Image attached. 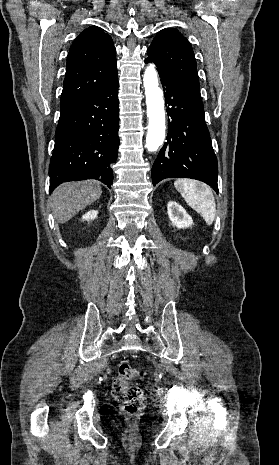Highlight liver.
<instances>
[{
  "mask_svg": "<svg viewBox=\"0 0 279 465\" xmlns=\"http://www.w3.org/2000/svg\"><path fill=\"white\" fill-rule=\"evenodd\" d=\"M101 194V185L95 180L63 183L50 198L54 217L63 224L98 200Z\"/></svg>",
  "mask_w": 279,
  "mask_h": 465,
  "instance_id": "6515ba94",
  "label": "liver"
}]
</instances>
